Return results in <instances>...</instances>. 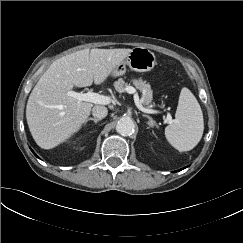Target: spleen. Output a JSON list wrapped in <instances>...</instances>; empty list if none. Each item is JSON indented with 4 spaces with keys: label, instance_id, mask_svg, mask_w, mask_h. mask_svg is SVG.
<instances>
[{
    "label": "spleen",
    "instance_id": "spleen-1",
    "mask_svg": "<svg viewBox=\"0 0 243 243\" xmlns=\"http://www.w3.org/2000/svg\"><path fill=\"white\" fill-rule=\"evenodd\" d=\"M203 130L201 107L192 92L184 87L180 92L175 120L165 128V137L178 151H190L201 140Z\"/></svg>",
    "mask_w": 243,
    "mask_h": 243
}]
</instances>
